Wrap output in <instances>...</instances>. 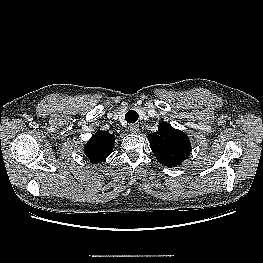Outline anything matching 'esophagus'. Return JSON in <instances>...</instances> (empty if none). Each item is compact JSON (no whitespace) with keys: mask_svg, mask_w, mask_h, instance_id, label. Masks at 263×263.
<instances>
[{"mask_svg":"<svg viewBox=\"0 0 263 263\" xmlns=\"http://www.w3.org/2000/svg\"><path fill=\"white\" fill-rule=\"evenodd\" d=\"M130 131L133 134H137L139 132V126L137 124L130 125Z\"/></svg>","mask_w":263,"mask_h":263,"instance_id":"1","label":"esophagus"}]
</instances>
